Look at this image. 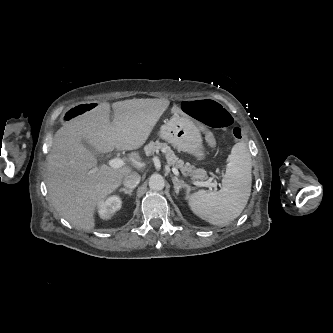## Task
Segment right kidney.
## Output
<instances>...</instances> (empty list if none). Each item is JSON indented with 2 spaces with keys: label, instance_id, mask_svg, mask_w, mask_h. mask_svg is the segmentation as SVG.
<instances>
[{
  "label": "right kidney",
  "instance_id": "1",
  "mask_svg": "<svg viewBox=\"0 0 333 333\" xmlns=\"http://www.w3.org/2000/svg\"><path fill=\"white\" fill-rule=\"evenodd\" d=\"M122 206V200L118 196H110L107 199L100 201L98 204V212L102 219H110L111 216Z\"/></svg>",
  "mask_w": 333,
  "mask_h": 333
}]
</instances>
